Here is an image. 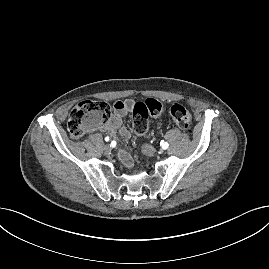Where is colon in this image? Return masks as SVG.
I'll return each instance as SVG.
<instances>
[{
  "instance_id": "obj_1",
  "label": "colon",
  "mask_w": 269,
  "mask_h": 269,
  "mask_svg": "<svg viewBox=\"0 0 269 269\" xmlns=\"http://www.w3.org/2000/svg\"><path fill=\"white\" fill-rule=\"evenodd\" d=\"M162 104L155 99L137 102L133 106V130L138 136L148 131L149 117L162 111ZM110 115V106L106 102L85 100L78 103L70 112L67 128L73 139L83 137L87 132L102 126ZM170 115L178 127L185 131L191 130L192 116L180 104L170 108Z\"/></svg>"
}]
</instances>
